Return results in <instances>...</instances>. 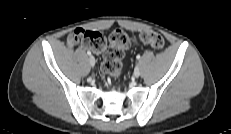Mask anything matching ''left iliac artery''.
Masks as SVG:
<instances>
[{"mask_svg": "<svg viewBox=\"0 0 231 134\" xmlns=\"http://www.w3.org/2000/svg\"><path fill=\"white\" fill-rule=\"evenodd\" d=\"M136 58L139 60V59L141 58V56H140V55H137Z\"/></svg>", "mask_w": 231, "mask_h": 134, "instance_id": "1", "label": "left iliac artery"}]
</instances>
